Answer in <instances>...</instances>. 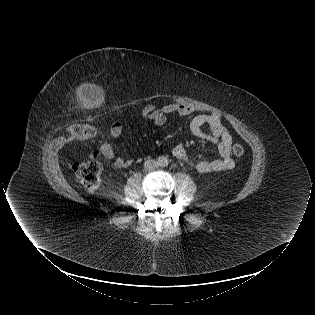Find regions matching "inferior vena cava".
<instances>
[{"label":"inferior vena cava","mask_w":315,"mask_h":315,"mask_svg":"<svg viewBox=\"0 0 315 315\" xmlns=\"http://www.w3.org/2000/svg\"><path fill=\"white\" fill-rule=\"evenodd\" d=\"M144 167L146 170H152L157 167V162L153 159L146 160L144 163Z\"/></svg>","instance_id":"obj_1"}]
</instances>
